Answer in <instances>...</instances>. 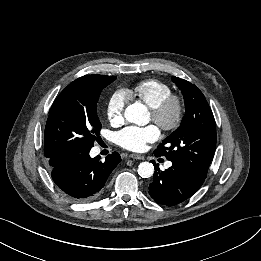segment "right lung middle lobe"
Returning a JSON list of instances; mask_svg holds the SVG:
<instances>
[{
    "mask_svg": "<svg viewBox=\"0 0 261 261\" xmlns=\"http://www.w3.org/2000/svg\"><path fill=\"white\" fill-rule=\"evenodd\" d=\"M116 76L86 75L70 83L54 101L44 133V155L74 157L90 151L99 138L97 102Z\"/></svg>",
    "mask_w": 261,
    "mask_h": 261,
    "instance_id": "right-lung-middle-lobe-1",
    "label": "right lung middle lobe"
}]
</instances>
